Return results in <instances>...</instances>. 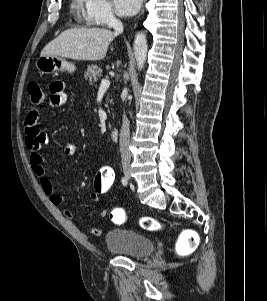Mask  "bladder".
I'll return each mask as SVG.
<instances>
[{"label":"bladder","instance_id":"obj_1","mask_svg":"<svg viewBox=\"0 0 267 301\" xmlns=\"http://www.w3.org/2000/svg\"><path fill=\"white\" fill-rule=\"evenodd\" d=\"M104 242L110 251L130 258L150 255L155 249L151 239L127 229L109 230Z\"/></svg>","mask_w":267,"mask_h":301}]
</instances>
